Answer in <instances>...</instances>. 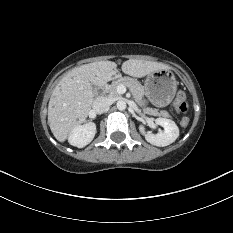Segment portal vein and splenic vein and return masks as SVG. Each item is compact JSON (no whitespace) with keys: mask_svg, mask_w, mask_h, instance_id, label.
<instances>
[{"mask_svg":"<svg viewBox=\"0 0 233 233\" xmlns=\"http://www.w3.org/2000/svg\"><path fill=\"white\" fill-rule=\"evenodd\" d=\"M126 87L124 86V85H119L118 87H117V92L119 93V94H124L125 92H126Z\"/></svg>","mask_w":233,"mask_h":233,"instance_id":"portal-vein-and-splenic-vein-1","label":"portal vein and splenic vein"}]
</instances>
